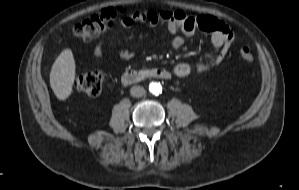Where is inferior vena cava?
Returning <instances> with one entry per match:
<instances>
[{"label":"inferior vena cava","mask_w":299,"mask_h":190,"mask_svg":"<svg viewBox=\"0 0 299 190\" xmlns=\"http://www.w3.org/2000/svg\"><path fill=\"white\" fill-rule=\"evenodd\" d=\"M146 93L145 89L142 86H133L130 89V94L133 97H142Z\"/></svg>","instance_id":"1"}]
</instances>
